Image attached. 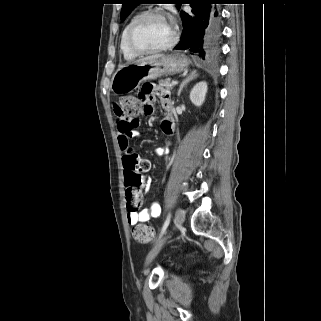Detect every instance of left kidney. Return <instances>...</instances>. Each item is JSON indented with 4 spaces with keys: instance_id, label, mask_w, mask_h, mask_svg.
<instances>
[{
    "instance_id": "1",
    "label": "left kidney",
    "mask_w": 321,
    "mask_h": 321,
    "mask_svg": "<svg viewBox=\"0 0 321 321\" xmlns=\"http://www.w3.org/2000/svg\"><path fill=\"white\" fill-rule=\"evenodd\" d=\"M207 89L208 87L206 82L202 81L197 83L190 92L191 102L200 107L204 103Z\"/></svg>"
}]
</instances>
